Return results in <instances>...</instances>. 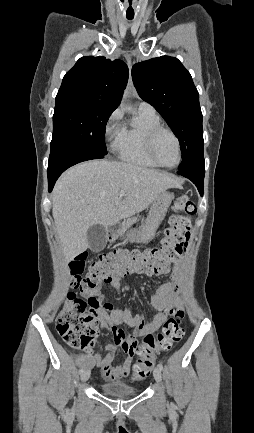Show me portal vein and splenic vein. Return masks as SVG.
Returning <instances> with one entry per match:
<instances>
[{"mask_svg":"<svg viewBox=\"0 0 254 433\" xmlns=\"http://www.w3.org/2000/svg\"><path fill=\"white\" fill-rule=\"evenodd\" d=\"M124 195H125V193H124L123 191H121V192L119 193V197H120V198H122Z\"/></svg>","mask_w":254,"mask_h":433,"instance_id":"portal-vein-and-splenic-vein-1","label":"portal vein and splenic vein"}]
</instances>
